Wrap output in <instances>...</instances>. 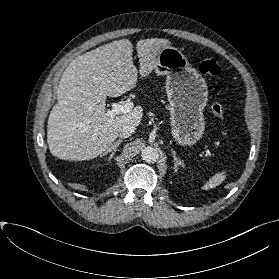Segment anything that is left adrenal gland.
Segmentation results:
<instances>
[{"mask_svg": "<svg viewBox=\"0 0 279 279\" xmlns=\"http://www.w3.org/2000/svg\"><path fill=\"white\" fill-rule=\"evenodd\" d=\"M171 152L173 154V159H174V170L177 171L178 166H182L183 162L177 158L175 150L171 149Z\"/></svg>", "mask_w": 279, "mask_h": 279, "instance_id": "1", "label": "left adrenal gland"}]
</instances>
